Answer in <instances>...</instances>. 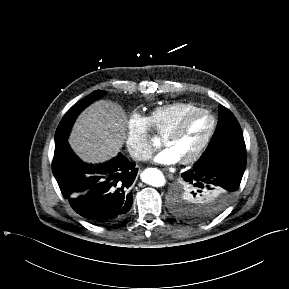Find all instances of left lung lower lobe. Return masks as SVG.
<instances>
[{"mask_svg": "<svg viewBox=\"0 0 289 289\" xmlns=\"http://www.w3.org/2000/svg\"><path fill=\"white\" fill-rule=\"evenodd\" d=\"M245 166V150L222 151L199 159L182 178L203 196L206 212L215 217L232 201Z\"/></svg>", "mask_w": 289, "mask_h": 289, "instance_id": "1", "label": "left lung lower lobe"}]
</instances>
